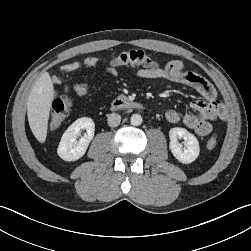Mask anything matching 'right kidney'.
<instances>
[{"instance_id": "obj_1", "label": "right kidney", "mask_w": 251, "mask_h": 251, "mask_svg": "<svg viewBox=\"0 0 251 251\" xmlns=\"http://www.w3.org/2000/svg\"><path fill=\"white\" fill-rule=\"evenodd\" d=\"M85 129L86 133L79 140L81 130ZM95 124L91 118L82 117L73 122L62 135L57 153L65 161H76L81 158L89 143L94 137Z\"/></svg>"}]
</instances>
